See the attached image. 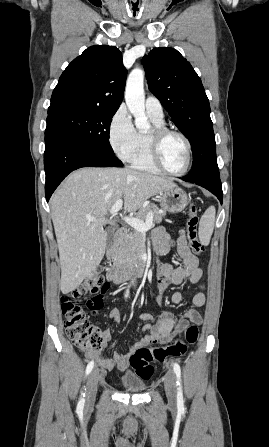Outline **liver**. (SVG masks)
Instances as JSON below:
<instances>
[{"label": "liver", "instance_id": "1", "mask_svg": "<svg viewBox=\"0 0 269 447\" xmlns=\"http://www.w3.org/2000/svg\"><path fill=\"white\" fill-rule=\"evenodd\" d=\"M175 188L170 180L128 168H80L66 178L52 198L51 218L59 249L62 293L76 289L98 267L106 249L103 225L117 200L124 212ZM94 216L96 222H88Z\"/></svg>", "mask_w": 269, "mask_h": 447}]
</instances>
